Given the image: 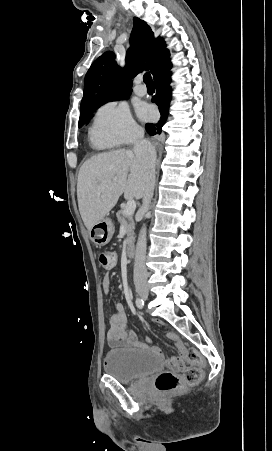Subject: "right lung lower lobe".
Masks as SVG:
<instances>
[{
    "instance_id": "right-lung-lower-lobe-1",
    "label": "right lung lower lobe",
    "mask_w": 272,
    "mask_h": 451,
    "mask_svg": "<svg viewBox=\"0 0 272 451\" xmlns=\"http://www.w3.org/2000/svg\"><path fill=\"white\" fill-rule=\"evenodd\" d=\"M171 67L172 64L170 59H168L164 64L158 67L157 71L153 74L157 93L151 101L159 106L161 117L157 123L146 124V130L151 136L160 134L167 121L171 100V87L169 85L171 82Z\"/></svg>"
}]
</instances>
